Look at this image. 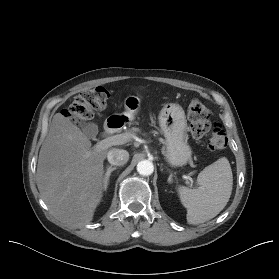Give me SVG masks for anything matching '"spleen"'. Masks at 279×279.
<instances>
[{
  "instance_id": "obj_1",
  "label": "spleen",
  "mask_w": 279,
  "mask_h": 279,
  "mask_svg": "<svg viewBox=\"0 0 279 279\" xmlns=\"http://www.w3.org/2000/svg\"><path fill=\"white\" fill-rule=\"evenodd\" d=\"M198 187H179L181 203L187 209L189 224L204 223L217 216L227 205L233 187V174L227 158H219L198 175Z\"/></svg>"
}]
</instances>
